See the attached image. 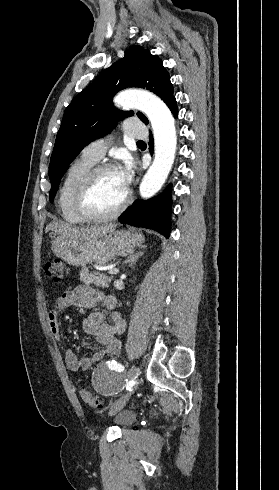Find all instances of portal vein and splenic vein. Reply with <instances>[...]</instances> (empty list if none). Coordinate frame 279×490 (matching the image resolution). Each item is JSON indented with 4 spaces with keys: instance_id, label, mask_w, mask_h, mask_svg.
Here are the masks:
<instances>
[{
    "instance_id": "portal-vein-and-splenic-vein-1",
    "label": "portal vein and splenic vein",
    "mask_w": 279,
    "mask_h": 490,
    "mask_svg": "<svg viewBox=\"0 0 279 490\" xmlns=\"http://www.w3.org/2000/svg\"><path fill=\"white\" fill-rule=\"evenodd\" d=\"M108 270V274H118L119 272L118 268H108Z\"/></svg>"
}]
</instances>
